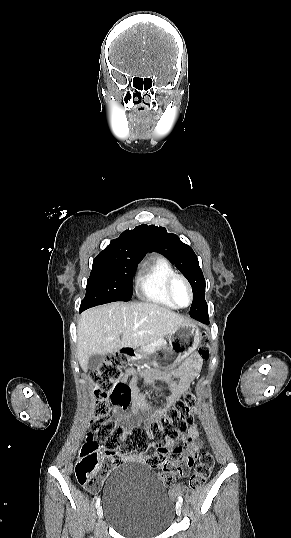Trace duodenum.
<instances>
[{"mask_svg": "<svg viewBox=\"0 0 291 538\" xmlns=\"http://www.w3.org/2000/svg\"><path fill=\"white\" fill-rule=\"evenodd\" d=\"M126 355L130 358H135L137 356V352L133 348H127Z\"/></svg>", "mask_w": 291, "mask_h": 538, "instance_id": "1", "label": "duodenum"}]
</instances>
